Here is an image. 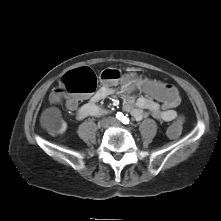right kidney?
<instances>
[{
    "mask_svg": "<svg viewBox=\"0 0 221 221\" xmlns=\"http://www.w3.org/2000/svg\"><path fill=\"white\" fill-rule=\"evenodd\" d=\"M67 129V123L64 120L58 121L54 126V131L58 134L65 133Z\"/></svg>",
    "mask_w": 221,
    "mask_h": 221,
    "instance_id": "obj_1",
    "label": "right kidney"
}]
</instances>
